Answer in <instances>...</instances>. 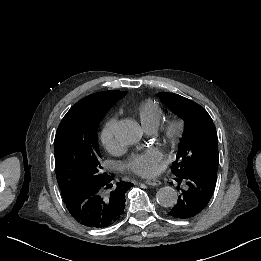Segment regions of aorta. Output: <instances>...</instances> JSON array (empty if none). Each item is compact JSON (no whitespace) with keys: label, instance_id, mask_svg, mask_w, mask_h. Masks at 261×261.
Listing matches in <instances>:
<instances>
[{"label":"aorta","instance_id":"aorta-1","mask_svg":"<svg viewBox=\"0 0 261 261\" xmlns=\"http://www.w3.org/2000/svg\"><path fill=\"white\" fill-rule=\"evenodd\" d=\"M115 137L123 145H133L141 139L142 131L137 122L124 119L118 122ZM177 199L176 190L170 186L161 187L156 193V200L163 207H173Z\"/></svg>","mask_w":261,"mask_h":261}]
</instances>
